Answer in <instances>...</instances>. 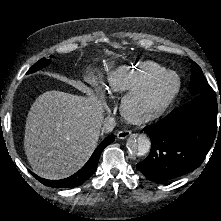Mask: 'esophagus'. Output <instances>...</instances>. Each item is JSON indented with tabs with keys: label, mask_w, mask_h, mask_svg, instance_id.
Wrapping results in <instances>:
<instances>
[{
	"label": "esophagus",
	"mask_w": 221,
	"mask_h": 221,
	"mask_svg": "<svg viewBox=\"0 0 221 221\" xmlns=\"http://www.w3.org/2000/svg\"><path fill=\"white\" fill-rule=\"evenodd\" d=\"M131 134V131L129 130H121L117 133V138L119 139H125Z\"/></svg>",
	"instance_id": "34e87169"
}]
</instances>
